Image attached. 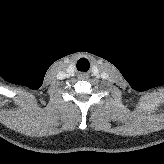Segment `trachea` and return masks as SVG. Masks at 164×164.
Returning <instances> with one entry per match:
<instances>
[{
  "label": "trachea",
  "instance_id": "obj_1",
  "mask_svg": "<svg viewBox=\"0 0 164 164\" xmlns=\"http://www.w3.org/2000/svg\"><path fill=\"white\" fill-rule=\"evenodd\" d=\"M81 66V67H80ZM90 67V64L89 62L87 61V59L85 58H81L79 61H78V70L79 71H87ZM80 68H85V70H80Z\"/></svg>",
  "mask_w": 164,
  "mask_h": 164
}]
</instances>
